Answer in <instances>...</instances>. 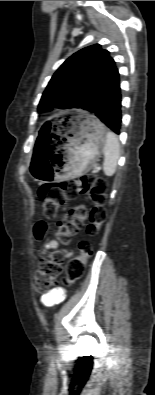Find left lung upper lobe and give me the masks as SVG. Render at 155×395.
I'll list each match as a JSON object with an SVG mask.
<instances>
[{"mask_svg": "<svg viewBox=\"0 0 155 395\" xmlns=\"http://www.w3.org/2000/svg\"><path fill=\"white\" fill-rule=\"evenodd\" d=\"M116 63L107 50L95 44L69 57L55 72L41 97L38 110L79 108Z\"/></svg>", "mask_w": 155, "mask_h": 395, "instance_id": "left-lung-upper-lobe-1", "label": "left lung upper lobe"}]
</instances>
